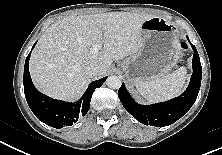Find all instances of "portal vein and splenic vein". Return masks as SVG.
<instances>
[{
	"label": "portal vein and splenic vein",
	"instance_id": "1",
	"mask_svg": "<svg viewBox=\"0 0 222 155\" xmlns=\"http://www.w3.org/2000/svg\"><path fill=\"white\" fill-rule=\"evenodd\" d=\"M100 49H101V45L100 44H95V45L92 46L91 51L93 53H97Z\"/></svg>",
	"mask_w": 222,
	"mask_h": 155
}]
</instances>
